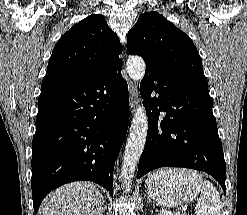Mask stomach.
<instances>
[{
	"label": "stomach",
	"mask_w": 247,
	"mask_h": 215,
	"mask_svg": "<svg viewBox=\"0 0 247 215\" xmlns=\"http://www.w3.org/2000/svg\"><path fill=\"white\" fill-rule=\"evenodd\" d=\"M202 180L195 171L187 169H161L147 179V193L160 205L181 206L195 199Z\"/></svg>",
	"instance_id": "1"
}]
</instances>
